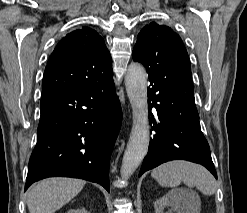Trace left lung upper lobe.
<instances>
[{"instance_id":"obj_1","label":"left lung upper lobe","mask_w":247,"mask_h":213,"mask_svg":"<svg viewBox=\"0 0 247 213\" xmlns=\"http://www.w3.org/2000/svg\"><path fill=\"white\" fill-rule=\"evenodd\" d=\"M132 58L142 63L147 72L181 68L191 74L189 56L181 38L171 28L155 22L138 34Z\"/></svg>"}]
</instances>
